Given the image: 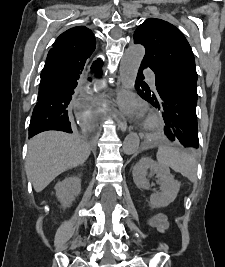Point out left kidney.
<instances>
[{
	"label": "left kidney",
	"instance_id": "left-kidney-1",
	"mask_svg": "<svg viewBox=\"0 0 225 267\" xmlns=\"http://www.w3.org/2000/svg\"><path fill=\"white\" fill-rule=\"evenodd\" d=\"M148 171L156 174L160 182L159 193L150 196V202L155 207H166L175 200L180 190V183L175 180L168 167H164L151 158H142L133 168V180L137 187L149 189L150 184L146 178Z\"/></svg>",
	"mask_w": 225,
	"mask_h": 267
}]
</instances>
